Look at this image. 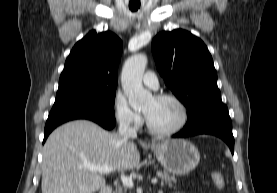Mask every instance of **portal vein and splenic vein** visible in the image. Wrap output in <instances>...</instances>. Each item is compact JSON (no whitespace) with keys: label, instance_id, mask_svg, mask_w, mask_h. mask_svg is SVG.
<instances>
[{"label":"portal vein and splenic vein","instance_id":"obj_1","mask_svg":"<svg viewBox=\"0 0 277 193\" xmlns=\"http://www.w3.org/2000/svg\"><path fill=\"white\" fill-rule=\"evenodd\" d=\"M87 169L92 170V171H97L100 173H111L114 171V169L110 166H93V165H87ZM121 181L124 186L132 188L134 186L132 178L125 176L124 174H121ZM157 178H152L151 183L156 184L157 183Z\"/></svg>","mask_w":277,"mask_h":193}]
</instances>
